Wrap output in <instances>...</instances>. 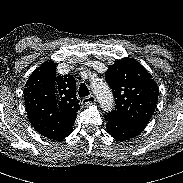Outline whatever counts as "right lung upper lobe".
<instances>
[{
    "instance_id": "obj_1",
    "label": "right lung upper lobe",
    "mask_w": 183,
    "mask_h": 183,
    "mask_svg": "<svg viewBox=\"0 0 183 183\" xmlns=\"http://www.w3.org/2000/svg\"><path fill=\"white\" fill-rule=\"evenodd\" d=\"M24 99L29 121L42 136L62 140L72 133L80 109L76 82L71 75L56 76L53 61H46L30 75Z\"/></svg>"
}]
</instances>
